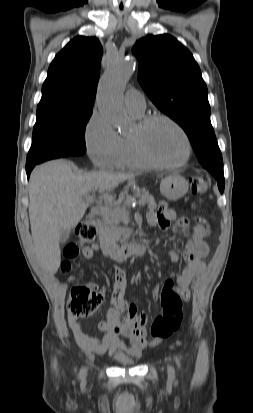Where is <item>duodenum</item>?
I'll return each mask as SVG.
<instances>
[{
  "label": "duodenum",
  "mask_w": 253,
  "mask_h": 413,
  "mask_svg": "<svg viewBox=\"0 0 253 413\" xmlns=\"http://www.w3.org/2000/svg\"><path fill=\"white\" fill-rule=\"evenodd\" d=\"M99 237L103 254L116 261H123L131 256H143L149 249L148 245L139 243L126 244L120 247L112 245L108 238L106 226L103 223L99 225Z\"/></svg>",
  "instance_id": "obj_1"
}]
</instances>
